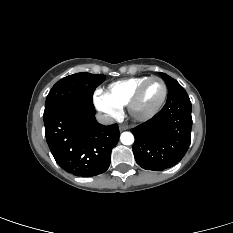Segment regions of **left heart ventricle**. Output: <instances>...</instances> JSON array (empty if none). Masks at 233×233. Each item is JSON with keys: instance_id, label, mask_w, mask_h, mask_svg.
<instances>
[{"instance_id": "obj_1", "label": "left heart ventricle", "mask_w": 233, "mask_h": 233, "mask_svg": "<svg viewBox=\"0 0 233 233\" xmlns=\"http://www.w3.org/2000/svg\"><path fill=\"white\" fill-rule=\"evenodd\" d=\"M163 93V86L160 81L153 80L145 87L137 109L139 112H145L152 109L160 100Z\"/></svg>"}]
</instances>
